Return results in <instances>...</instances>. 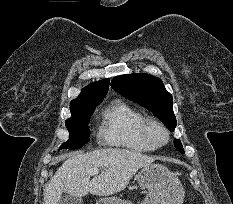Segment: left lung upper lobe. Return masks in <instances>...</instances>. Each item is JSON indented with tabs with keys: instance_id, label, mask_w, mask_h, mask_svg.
Here are the masks:
<instances>
[{
	"instance_id": "1",
	"label": "left lung upper lobe",
	"mask_w": 233,
	"mask_h": 204,
	"mask_svg": "<svg viewBox=\"0 0 233 204\" xmlns=\"http://www.w3.org/2000/svg\"><path fill=\"white\" fill-rule=\"evenodd\" d=\"M111 87L141 106L151 110L170 131L176 127L172 95L162 81L149 74H128L113 78ZM176 149L184 153L180 140H175Z\"/></svg>"
}]
</instances>
